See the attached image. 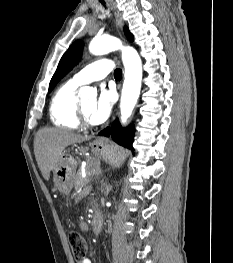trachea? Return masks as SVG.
Segmentation results:
<instances>
[{"label": "trachea", "mask_w": 233, "mask_h": 263, "mask_svg": "<svg viewBox=\"0 0 233 263\" xmlns=\"http://www.w3.org/2000/svg\"><path fill=\"white\" fill-rule=\"evenodd\" d=\"M102 4H105L104 1H101ZM114 77L115 79H121L122 77V70L117 68L115 71H114Z\"/></svg>", "instance_id": "1"}]
</instances>
